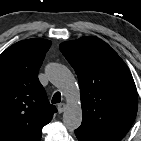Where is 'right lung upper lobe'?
<instances>
[{"mask_svg":"<svg viewBox=\"0 0 141 141\" xmlns=\"http://www.w3.org/2000/svg\"><path fill=\"white\" fill-rule=\"evenodd\" d=\"M50 46L46 39H28L0 55V141H40L57 111L38 79Z\"/></svg>","mask_w":141,"mask_h":141,"instance_id":"right-lung-upper-lobe-1","label":"right lung upper lobe"}]
</instances>
